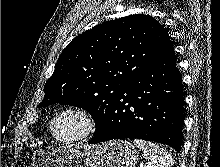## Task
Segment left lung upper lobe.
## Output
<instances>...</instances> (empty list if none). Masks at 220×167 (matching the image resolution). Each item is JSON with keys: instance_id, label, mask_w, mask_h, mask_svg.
<instances>
[{"instance_id": "obj_1", "label": "left lung upper lobe", "mask_w": 220, "mask_h": 167, "mask_svg": "<svg viewBox=\"0 0 220 167\" xmlns=\"http://www.w3.org/2000/svg\"><path fill=\"white\" fill-rule=\"evenodd\" d=\"M173 52L166 28L149 15L106 21L63 50L38 107L54 103L81 107L95 120V135L125 85Z\"/></svg>"}]
</instances>
